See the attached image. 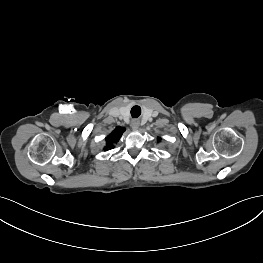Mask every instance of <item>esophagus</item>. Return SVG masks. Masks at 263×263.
<instances>
[{"label":"esophagus","instance_id":"34e87169","mask_svg":"<svg viewBox=\"0 0 263 263\" xmlns=\"http://www.w3.org/2000/svg\"><path fill=\"white\" fill-rule=\"evenodd\" d=\"M131 125H132V128L136 130L139 127V121L133 120Z\"/></svg>","mask_w":263,"mask_h":263}]
</instances>
